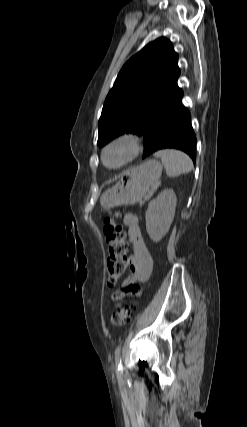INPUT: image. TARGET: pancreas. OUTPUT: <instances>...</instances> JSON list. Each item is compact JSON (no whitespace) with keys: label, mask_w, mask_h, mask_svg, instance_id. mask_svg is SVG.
Segmentation results:
<instances>
[{"label":"pancreas","mask_w":247,"mask_h":427,"mask_svg":"<svg viewBox=\"0 0 247 427\" xmlns=\"http://www.w3.org/2000/svg\"><path fill=\"white\" fill-rule=\"evenodd\" d=\"M157 185H158V184H153V186H152V190H151V191H149V192L146 194V196L144 197V200H143V201H141V202H140V204H143L145 201H147V200L152 196V194H153L154 190L156 189Z\"/></svg>","instance_id":"cf45deb5"}]
</instances>
